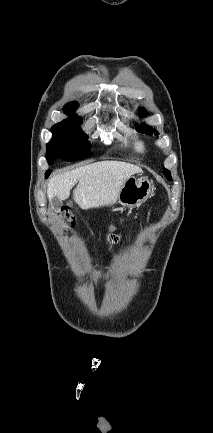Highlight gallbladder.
<instances>
[{
    "label": "gallbladder",
    "mask_w": 213,
    "mask_h": 433,
    "mask_svg": "<svg viewBox=\"0 0 213 433\" xmlns=\"http://www.w3.org/2000/svg\"><path fill=\"white\" fill-rule=\"evenodd\" d=\"M50 204L53 210H59L62 206V202L58 199V197H53L50 200Z\"/></svg>",
    "instance_id": "1"
}]
</instances>
